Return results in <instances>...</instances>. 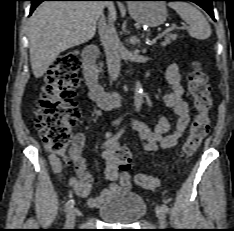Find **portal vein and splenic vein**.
Listing matches in <instances>:
<instances>
[{"mask_svg":"<svg viewBox=\"0 0 234 231\" xmlns=\"http://www.w3.org/2000/svg\"><path fill=\"white\" fill-rule=\"evenodd\" d=\"M175 29H177L176 25H172V27H170L169 29H167V30L164 31L163 33L157 35V36L151 41V43L156 42V41H157L158 39H160L162 36H164V35L167 34L168 32L173 31V30H175Z\"/></svg>","mask_w":234,"mask_h":231,"instance_id":"1","label":"portal vein and splenic vein"}]
</instances>
